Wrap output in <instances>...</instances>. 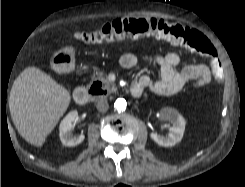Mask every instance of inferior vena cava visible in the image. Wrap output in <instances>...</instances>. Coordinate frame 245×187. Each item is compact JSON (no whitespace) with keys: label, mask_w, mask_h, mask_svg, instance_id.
<instances>
[{"label":"inferior vena cava","mask_w":245,"mask_h":187,"mask_svg":"<svg viewBox=\"0 0 245 187\" xmlns=\"http://www.w3.org/2000/svg\"><path fill=\"white\" fill-rule=\"evenodd\" d=\"M97 110L99 112H106L109 108L108 102L106 99H101L98 103H97Z\"/></svg>","instance_id":"inferior-vena-cava-1"}]
</instances>
